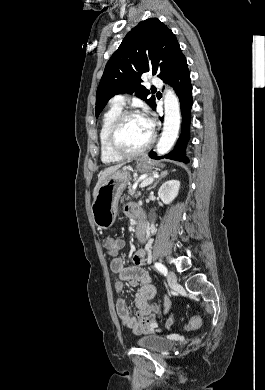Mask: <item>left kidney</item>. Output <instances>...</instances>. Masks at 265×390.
I'll return each mask as SVG.
<instances>
[{
    "mask_svg": "<svg viewBox=\"0 0 265 390\" xmlns=\"http://www.w3.org/2000/svg\"><path fill=\"white\" fill-rule=\"evenodd\" d=\"M180 182L178 180H168L162 184L158 190V196L163 203L170 204L178 195Z\"/></svg>",
    "mask_w": 265,
    "mask_h": 390,
    "instance_id": "5707ae66",
    "label": "left kidney"
}]
</instances>
